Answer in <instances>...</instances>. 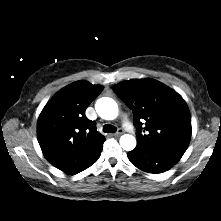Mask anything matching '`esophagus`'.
I'll list each match as a JSON object with an SVG mask.
<instances>
[{
	"mask_svg": "<svg viewBox=\"0 0 221 221\" xmlns=\"http://www.w3.org/2000/svg\"><path fill=\"white\" fill-rule=\"evenodd\" d=\"M124 133V130L123 129H118V131L115 133V134H113L114 136H120V135H122Z\"/></svg>",
	"mask_w": 221,
	"mask_h": 221,
	"instance_id": "esophagus-1",
	"label": "esophagus"
}]
</instances>
